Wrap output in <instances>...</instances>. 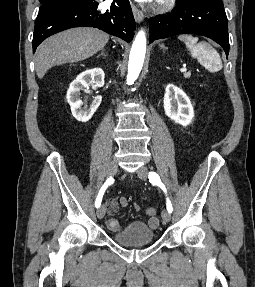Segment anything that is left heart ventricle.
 Instances as JSON below:
<instances>
[{
    "label": "left heart ventricle",
    "instance_id": "obj_1",
    "mask_svg": "<svg viewBox=\"0 0 255 287\" xmlns=\"http://www.w3.org/2000/svg\"><path fill=\"white\" fill-rule=\"evenodd\" d=\"M151 33H159V32H151ZM145 39H159V38H145ZM135 48H164V47H135Z\"/></svg>",
    "mask_w": 255,
    "mask_h": 287
}]
</instances>
